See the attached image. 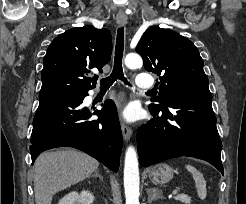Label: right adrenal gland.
<instances>
[{
	"instance_id": "obj_1",
	"label": "right adrenal gland",
	"mask_w": 246,
	"mask_h": 204,
	"mask_svg": "<svg viewBox=\"0 0 246 204\" xmlns=\"http://www.w3.org/2000/svg\"><path fill=\"white\" fill-rule=\"evenodd\" d=\"M91 177H99L103 181V177H102V175L99 174L98 169L95 170L94 174L91 175Z\"/></svg>"
}]
</instances>
